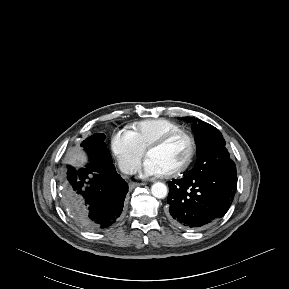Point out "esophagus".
<instances>
[{
	"label": "esophagus",
	"instance_id": "esophagus-1",
	"mask_svg": "<svg viewBox=\"0 0 289 289\" xmlns=\"http://www.w3.org/2000/svg\"><path fill=\"white\" fill-rule=\"evenodd\" d=\"M141 185V183H137V182H130L129 183V187L131 188V189H133V188H135V187H137V186H140Z\"/></svg>",
	"mask_w": 289,
	"mask_h": 289
}]
</instances>
